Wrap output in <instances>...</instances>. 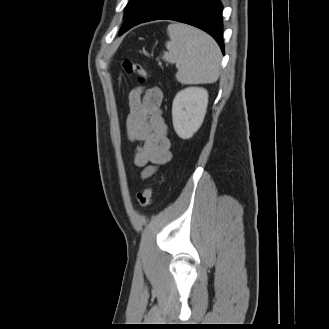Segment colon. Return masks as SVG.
<instances>
[{"label": "colon", "mask_w": 329, "mask_h": 329, "mask_svg": "<svg viewBox=\"0 0 329 329\" xmlns=\"http://www.w3.org/2000/svg\"><path fill=\"white\" fill-rule=\"evenodd\" d=\"M122 67L126 73L135 75L139 82L144 83L148 78L147 70L140 64L131 60H124ZM153 196V188L151 186L137 193V201L140 207L145 208L150 205Z\"/></svg>", "instance_id": "obj_1"}]
</instances>
